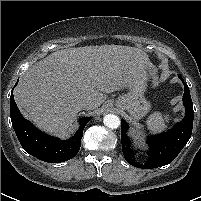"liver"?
I'll use <instances>...</instances> for the list:
<instances>
[{
	"label": "liver",
	"mask_w": 201,
	"mask_h": 201,
	"mask_svg": "<svg viewBox=\"0 0 201 201\" xmlns=\"http://www.w3.org/2000/svg\"><path fill=\"white\" fill-rule=\"evenodd\" d=\"M152 71L148 55L122 45L70 48L53 52L24 73L15 91L22 113L43 131L63 134L74 122L78 103L97 109L107 94L127 87L130 78ZM91 110V109H90Z\"/></svg>",
	"instance_id": "liver-1"
}]
</instances>
